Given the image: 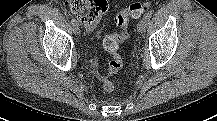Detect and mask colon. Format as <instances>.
Wrapping results in <instances>:
<instances>
[{
    "label": "colon",
    "instance_id": "obj_1",
    "mask_svg": "<svg viewBox=\"0 0 217 121\" xmlns=\"http://www.w3.org/2000/svg\"><path fill=\"white\" fill-rule=\"evenodd\" d=\"M66 8L77 15L80 21L90 28L99 25L103 14L107 11L108 5L106 0H64ZM151 7V2H135L130 4L126 9L122 10L115 17L117 26L121 29V33L107 36L103 41L105 50L110 53L112 59L109 63L108 74L113 75L122 68V58L118 52L119 43L130 38L128 33L129 18H138ZM102 88L106 93L115 90V82L106 79Z\"/></svg>",
    "mask_w": 217,
    "mask_h": 121
}]
</instances>
